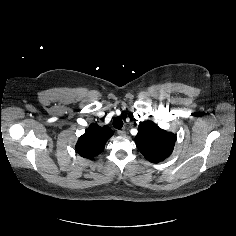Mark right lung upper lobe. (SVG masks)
I'll use <instances>...</instances> for the list:
<instances>
[{
	"label": "right lung upper lobe",
	"mask_w": 236,
	"mask_h": 236,
	"mask_svg": "<svg viewBox=\"0 0 236 236\" xmlns=\"http://www.w3.org/2000/svg\"><path fill=\"white\" fill-rule=\"evenodd\" d=\"M112 135L113 132L110 127H100L93 123L86 133L78 139L76 151L84 158L93 159L103 151L104 145Z\"/></svg>",
	"instance_id": "1"
}]
</instances>
